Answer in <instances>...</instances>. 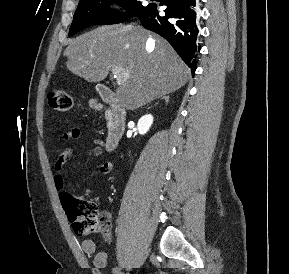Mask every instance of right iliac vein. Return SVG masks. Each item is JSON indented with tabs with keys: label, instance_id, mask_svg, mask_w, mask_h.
Returning a JSON list of instances; mask_svg holds the SVG:
<instances>
[{
	"label": "right iliac vein",
	"instance_id": "obj_1",
	"mask_svg": "<svg viewBox=\"0 0 289 274\" xmlns=\"http://www.w3.org/2000/svg\"><path fill=\"white\" fill-rule=\"evenodd\" d=\"M112 273H113V274H119V273H120V268H114V269L112 270Z\"/></svg>",
	"mask_w": 289,
	"mask_h": 274
}]
</instances>
